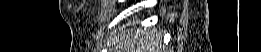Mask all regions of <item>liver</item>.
<instances>
[{
  "mask_svg": "<svg viewBox=\"0 0 261 52\" xmlns=\"http://www.w3.org/2000/svg\"><path fill=\"white\" fill-rule=\"evenodd\" d=\"M116 46L115 52H162L161 33L131 29L118 35Z\"/></svg>",
  "mask_w": 261,
  "mask_h": 52,
  "instance_id": "liver-1",
  "label": "liver"
}]
</instances>
